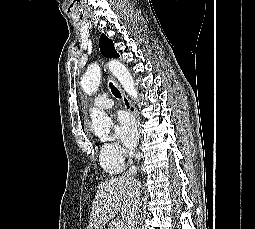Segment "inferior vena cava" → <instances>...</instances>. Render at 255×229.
I'll list each match as a JSON object with an SVG mask.
<instances>
[{"mask_svg": "<svg viewBox=\"0 0 255 229\" xmlns=\"http://www.w3.org/2000/svg\"><path fill=\"white\" fill-rule=\"evenodd\" d=\"M136 173H137L136 166H132L125 172L123 177H125L131 181H134L135 180L134 176ZM139 196H140V194H138L136 196L134 202L132 203V205L127 213L124 229H135L137 214L139 213L140 207H141Z\"/></svg>", "mask_w": 255, "mask_h": 229, "instance_id": "1", "label": "inferior vena cava"}]
</instances>
